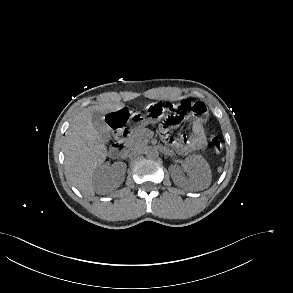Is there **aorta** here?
Returning <instances> with one entry per match:
<instances>
[{
    "label": "aorta",
    "instance_id": "1",
    "mask_svg": "<svg viewBox=\"0 0 293 293\" xmlns=\"http://www.w3.org/2000/svg\"><path fill=\"white\" fill-rule=\"evenodd\" d=\"M146 156L149 159H157L159 157V152L155 148H150L147 150Z\"/></svg>",
    "mask_w": 293,
    "mask_h": 293
}]
</instances>
